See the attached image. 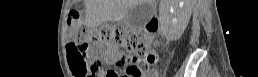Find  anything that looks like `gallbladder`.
I'll return each mask as SVG.
<instances>
[{
    "instance_id": "1",
    "label": "gallbladder",
    "mask_w": 258,
    "mask_h": 77,
    "mask_svg": "<svg viewBox=\"0 0 258 77\" xmlns=\"http://www.w3.org/2000/svg\"><path fill=\"white\" fill-rule=\"evenodd\" d=\"M154 6L148 2L130 9L125 16V24L130 28L142 27L153 15Z\"/></svg>"
}]
</instances>
